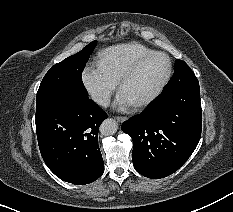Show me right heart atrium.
I'll return each instance as SVG.
<instances>
[{"mask_svg": "<svg viewBox=\"0 0 233 212\" xmlns=\"http://www.w3.org/2000/svg\"><path fill=\"white\" fill-rule=\"evenodd\" d=\"M81 81L90 98L100 106L108 104L118 85L99 64L87 65L82 71Z\"/></svg>", "mask_w": 233, "mask_h": 212, "instance_id": "d8ad5b80", "label": "right heart atrium"}]
</instances>
